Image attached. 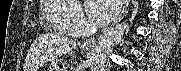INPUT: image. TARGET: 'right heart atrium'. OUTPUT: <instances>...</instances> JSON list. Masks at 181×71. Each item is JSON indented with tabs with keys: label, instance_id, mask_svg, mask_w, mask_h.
Returning a JSON list of instances; mask_svg holds the SVG:
<instances>
[{
	"label": "right heart atrium",
	"instance_id": "right-heart-atrium-1",
	"mask_svg": "<svg viewBox=\"0 0 181 71\" xmlns=\"http://www.w3.org/2000/svg\"><path fill=\"white\" fill-rule=\"evenodd\" d=\"M73 23L77 30L80 31L81 27L85 25L86 21L84 15L80 10L77 9V13L73 17Z\"/></svg>",
	"mask_w": 181,
	"mask_h": 71
}]
</instances>
